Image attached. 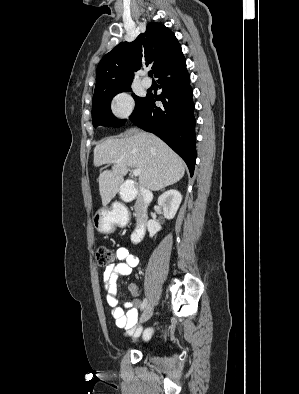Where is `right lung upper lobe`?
I'll list each match as a JSON object with an SVG mask.
<instances>
[{"label":"right lung upper lobe","mask_w":299,"mask_h":394,"mask_svg":"<svg viewBox=\"0 0 299 394\" xmlns=\"http://www.w3.org/2000/svg\"><path fill=\"white\" fill-rule=\"evenodd\" d=\"M183 56L174 33L151 22L133 42H122L107 53L97 67L95 92L131 85L133 73L152 65L155 76Z\"/></svg>","instance_id":"right-lung-upper-lobe-1"}]
</instances>
